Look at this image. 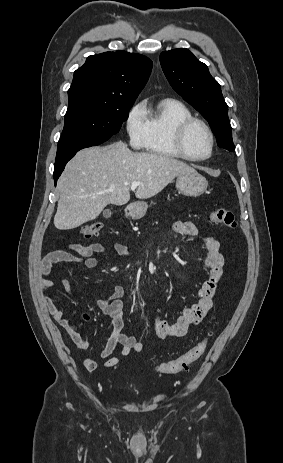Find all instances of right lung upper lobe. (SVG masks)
I'll return each instance as SVG.
<instances>
[{"label": "right lung upper lobe", "mask_w": 283, "mask_h": 463, "mask_svg": "<svg viewBox=\"0 0 283 463\" xmlns=\"http://www.w3.org/2000/svg\"><path fill=\"white\" fill-rule=\"evenodd\" d=\"M151 69L152 61L140 54L117 51L92 55L74 72L68 94L84 92L135 100Z\"/></svg>", "instance_id": "cb5924a9"}]
</instances>
